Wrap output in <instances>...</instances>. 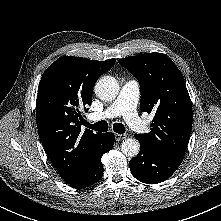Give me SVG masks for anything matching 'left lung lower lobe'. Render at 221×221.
Returning a JSON list of instances; mask_svg holds the SVG:
<instances>
[{"mask_svg": "<svg viewBox=\"0 0 221 221\" xmlns=\"http://www.w3.org/2000/svg\"><path fill=\"white\" fill-rule=\"evenodd\" d=\"M182 161L183 157L154 151L141 145L139 154L129 161V165L136 179L147 184H157L168 179Z\"/></svg>", "mask_w": 221, "mask_h": 221, "instance_id": "obj_1", "label": "left lung lower lobe"}]
</instances>
